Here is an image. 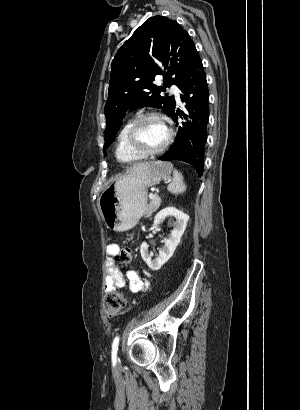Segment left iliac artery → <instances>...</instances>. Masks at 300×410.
Listing matches in <instances>:
<instances>
[{"mask_svg":"<svg viewBox=\"0 0 300 410\" xmlns=\"http://www.w3.org/2000/svg\"><path fill=\"white\" fill-rule=\"evenodd\" d=\"M119 340H120V337L116 336L113 340V343H112V360H113V362H116L117 351H118V347H119Z\"/></svg>","mask_w":300,"mask_h":410,"instance_id":"obj_1","label":"left iliac artery"}]
</instances>
